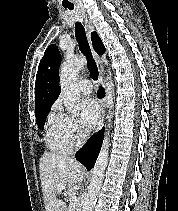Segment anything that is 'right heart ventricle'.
I'll use <instances>...</instances> for the list:
<instances>
[{
    "label": "right heart ventricle",
    "mask_w": 178,
    "mask_h": 211,
    "mask_svg": "<svg viewBox=\"0 0 178 211\" xmlns=\"http://www.w3.org/2000/svg\"><path fill=\"white\" fill-rule=\"evenodd\" d=\"M45 142L49 149L65 153L71 146L62 133L61 124L58 115H52L45 129Z\"/></svg>",
    "instance_id": "right-heart-ventricle-1"
}]
</instances>
